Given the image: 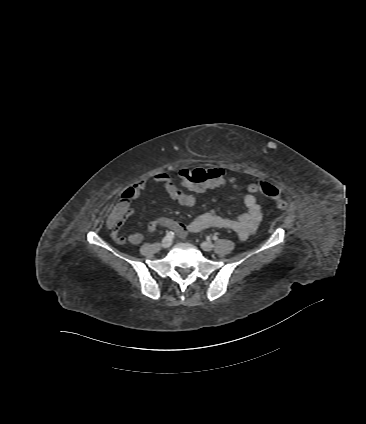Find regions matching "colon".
I'll return each mask as SVG.
<instances>
[{
  "mask_svg": "<svg viewBox=\"0 0 366 424\" xmlns=\"http://www.w3.org/2000/svg\"><path fill=\"white\" fill-rule=\"evenodd\" d=\"M219 176L220 172L215 171L213 168L181 169L179 171V177L183 184L192 189L206 188L216 183ZM248 189L252 192H260L268 196L276 203V206L280 210L287 209V203L282 199L280 191L273 184L266 181H258L251 184ZM132 196V191L127 190L123 194L121 202L114 208V211L119 217L127 218L132 213L129 203Z\"/></svg>",
  "mask_w": 366,
  "mask_h": 424,
  "instance_id": "5ec220e1",
  "label": "colon"
}]
</instances>
